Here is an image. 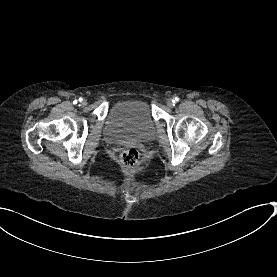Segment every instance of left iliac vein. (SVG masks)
<instances>
[{"mask_svg": "<svg viewBox=\"0 0 277 277\" xmlns=\"http://www.w3.org/2000/svg\"><path fill=\"white\" fill-rule=\"evenodd\" d=\"M167 106L170 107V108L173 107L174 106V101L172 99H168L167 100Z\"/></svg>", "mask_w": 277, "mask_h": 277, "instance_id": "obj_1", "label": "left iliac vein"}]
</instances>
